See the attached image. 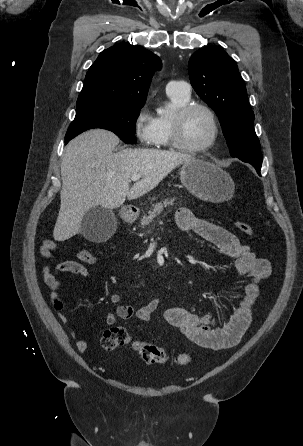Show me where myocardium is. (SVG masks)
I'll return each mask as SVG.
<instances>
[{
  "mask_svg": "<svg viewBox=\"0 0 303 446\" xmlns=\"http://www.w3.org/2000/svg\"><path fill=\"white\" fill-rule=\"evenodd\" d=\"M197 109L203 110L208 115L212 126V134L207 143H205L202 146L193 147L185 144L182 140L181 135H182V126L185 118L192 111ZM170 129H171V146L186 153H202L208 151L215 145L219 136V123L215 112L211 107L200 102H190L184 105L183 107L177 109L171 117Z\"/></svg>",
  "mask_w": 303,
  "mask_h": 446,
  "instance_id": "obj_1",
  "label": "myocardium"
}]
</instances>
